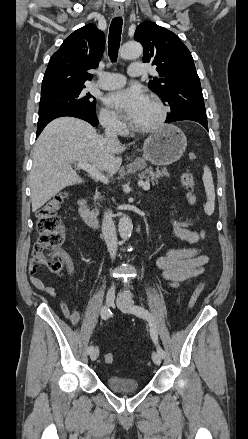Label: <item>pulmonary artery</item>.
Here are the masks:
<instances>
[{"label": "pulmonary artery", "instance_id": "e3ab8cb5", "mask_svg": "<svg viewBox=\"0 0 248 439\" xmlns=\"http://www.w3.org/2000/svg\"><path fill=\"white\" fill-rule=\"evenodd\" d=\"M143 64L134 62L128 69V74L132 77H139L143 75ZM125 84V77L119 73L113 72H99L98 79L94 85L104 90H112L119 88Z\"/></svg>", "mask_w": 248, "mask_h": 439}]
</instances>
